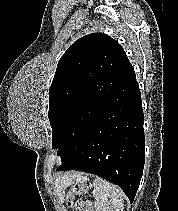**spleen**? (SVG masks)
<instances>
[{"mask_svg":"<svg viewBox=\"0 0 178 211\" xmlns=\"http://www.w3.org/2000/svg\"><path fill=\"white\" fill-rule=\"evenodd\" d=\"M93 187L96 211H123L124 193L118 186L102 178H96Z\"/></svg>","mask_w":178,"mask_h":211,"instance_id":"spleen-1","label":"spleen"}]
</instances>
